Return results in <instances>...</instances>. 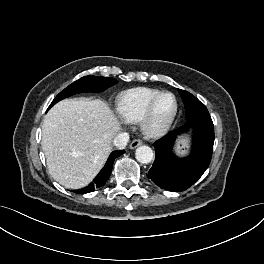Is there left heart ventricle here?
I'll use <instances>...</instances> for the list:
<instances>
[{
    "mask_svg": "<svg viewBox=\"0 0 264 264\" xmlns=\"http://www.w3.org/2000/svg\"><path fill=\"white\" fill-rule=\"evenodd\" d=\"M174 99L170 95L164 96L158 103L155 110V122L161 123L165 121L174 110Z\"/></svg>",
    "mask_w": 264,
    "mask_h": 264,
    "instance_id": "left-heart-ventricle-1",
    "label": "left heart ventricle"
}]
</instances>
